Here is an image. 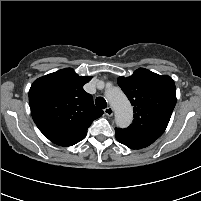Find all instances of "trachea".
<instances>
[{"label": "trachea", "mask_w": 201, "mask_h": 201, "mask_svg": "<svg viewBox=\"0 0 201 201\" xmlns=\"http://www.w3.org/2000/svg\"><path fill=\"white\" fill-rule=\"evenodd\" d=\"M95 104L100 109H105L107 107V102L103 97H97L95 100Z\"/></svg>", "instance_id": "obj_1"}]
</instances>
